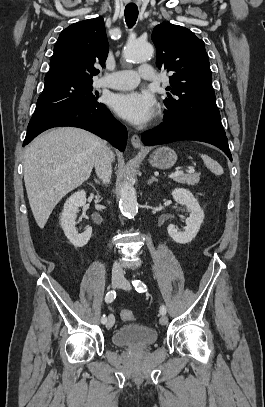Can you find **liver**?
Returning a JSON list of instances; mask_svg holds the SVG:
<instances>
[{
  "label": "liver",
  "instance_id": "1",
  "mask_svg": "<svg viewBox=\"0 0 265 407\" xmlns=\"http://www.w3.org/2000/svg\"><path fill=\"white\" fill-rule=\"evenodd\" d=\"M106 144L75 127L52 129L24 152V182L37 225L42 229L59 201L84 183Z\"/></svg>",
  "mask_w": 265,
  "mask_h": 407
}]
</instances>
